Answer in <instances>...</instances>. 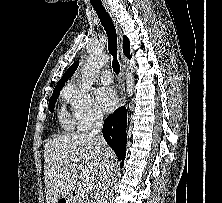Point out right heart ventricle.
Segmentation results:
<instances>
[{
    "instance_id": "right-heart-ventricle-1",
    "label": "right heart ventricle",
    "mask_w": 222,
    "mask_h": 203,
    "mask_svg": "<svg viewBox=\"0 0 222 203\" xmlns=\"http://www.w3.org/2000/svg\"><path fill=\"white\" fill-rule=\"evenodd\" d=\"M66 96V94H65ZM59 117H60V121L61 123L65 126V127H72V122L70 121V119L68 118V115L66 113V111L64 109H62L59 113Z\"/></svg>"
}]
</instances>
